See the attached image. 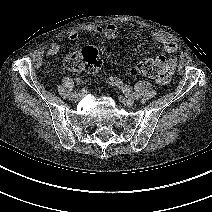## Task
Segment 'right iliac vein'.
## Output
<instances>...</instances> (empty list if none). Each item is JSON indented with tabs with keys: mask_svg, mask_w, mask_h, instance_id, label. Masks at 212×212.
Returning a JSON list of instances; mask_svg holds the SVG:
<instances>
[{
	"mask_svg": "<svg viewBox=\"0 0 212 212\" xmlns=\"http://www.w3.org/2000/svg\"><path fill=\"white\" fill-rule=\"evenodd\" d=\"M81 97H82V93L78 92V93H76V95H75V97H74V99H73V100L78 101V100H80V99H81Z\"/></svg>",
	"mask_w": 212,
	"mask_h": 212,
	"instance_id": "63e3f726",
	"label": "right iliac vein"
}]
</instances>
